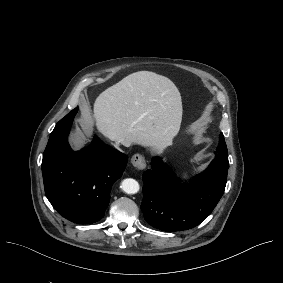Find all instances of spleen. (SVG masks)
I'll list each match as a JSON object with an SVG mask.
<instances>
[{"label":"spleen","mask_w":283,"mask_h":283,"mask_svg":"<svg viewBox=\"0 0 283 283\" xmlns=\"http://www.w3.org/2000/svg\"><path fill=\"white\" fill-rule=\"evenodd\" d=\"M177 172L179 173V175H180V177L183 179V181H184L187 185H190L191 180H190V177H189L188 173H187L186 171L180 170V169H179Z\"/></svg>","instance_id":"spleen-1"}]
</instances>
